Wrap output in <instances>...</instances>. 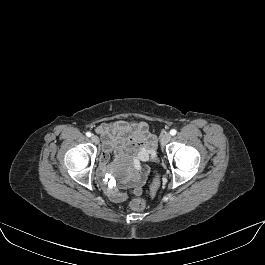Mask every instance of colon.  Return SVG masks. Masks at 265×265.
<instances>
[{"label":"colon","mask_w":265,"mask_h":265,"mask_svg":"<svg viewBox=\"0 0 265 265\" xmlns=\"http://www.w3.org/2000/svg\"><path fill=\"white\" fill-rule=\"evenodd\" d=\"M160 185V177L157 175L151 185L150 195L154 196ZM146 206V202L142 198H135L130 202V207L134 211H142Z\"/></svg>","instance_id":"obj_1"}]
</instances>
